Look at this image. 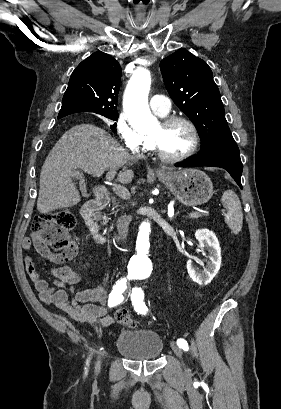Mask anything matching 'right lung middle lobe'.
Returning a JSON list of instances; mask_svg holds the SVG:
<instances>
[{
	"label": "right lung middle lobe",
	"instance_id": "1",
	"mask_svg": "<svg viewBox=\"0 0 281 409\" xmlns=\"http://www.w3.org/2000/svg\"><path fill=\"white\" fill-rule=\"evenodd\" d=\"M100 115L105 116L106 118H109L111 120H117L118 119V113H102Z\"/></svg>",
	"mask_w": 281,
	"mask_h": 409
}]
</instances>
